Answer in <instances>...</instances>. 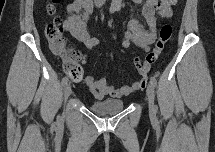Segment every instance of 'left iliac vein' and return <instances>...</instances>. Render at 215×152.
Wrapping results in <instances>:
<instances>
[{
	"label": "left iliac vein",
	"instance_id": "left-iliac-vein-1",
	"mask_svg": "<svg viewBox=\"0 0 215 152\" xmlns=\"http://www.w3.org/2000/svg\"><path fill=\"white\" fill-rule=\"evenodd\" d=\"M147 100H148V105H149V115L151 119L156 118V107L154 104V90L153 86L149 84L147 86Z\"/></svg>",
	"mask_w": 215,
	"mask_h": 152
}]
</instances>
